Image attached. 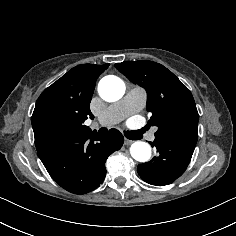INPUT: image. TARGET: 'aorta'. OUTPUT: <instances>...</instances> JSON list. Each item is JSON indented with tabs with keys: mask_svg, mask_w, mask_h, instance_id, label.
<instances>
[{
	"mask_svg": "<svg viewBox=\"0 0 236 236\" xmlns=\"http://www.w3.org/2000/svg\"><path fill=\"white\" fill-rule=\"evenodd\" d=\"M98 93L103 100L115 102L123 97L125 84L117 76H105L98 84ZM130 153L136 161L147 162L151 157V147L146 142L137 141L131 145Z\"/></svg>",
	"mask_w": 236,
	"mask_h": 236,
	"instance_id": "obj_1",
	"label": "aorta"
}]
</instances>
